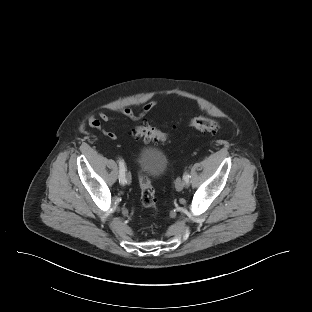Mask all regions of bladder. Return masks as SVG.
Segmentation results:
<instances>
[{"label": "bladder", "instance_id": "bladder-1", "mask_svg": "<svg viewBox=\"0 0 312 312\" xmlns=\"http://www.w3.org/2000/svg\"><path fill=\"white\" fill-rule=\"evenodd\" d=\"M138 164L145 175L158 178L165 173L168 159L161 149L147 147L141 150Z\"/></svg>", "mask_w": 312, "mask_h": 312}]
</instances>
